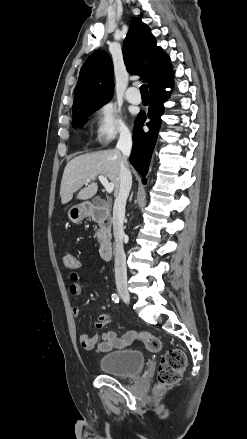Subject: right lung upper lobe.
I'll use <instances>...</instances> for the list:
<instances>
[{"mask_svg": "<svg viewBox=\"0 0 247 439\" xmlns=\"http://www.w3.org/2000/svg\"><path fill=\"white\" fill-rule=\"evenodd\" d=\"M128 72L141 76L150 91L172 83L169 57L150 28L140 18L132 19L123 46ZM113 64L107 52L95 51L83 64L75 88L73 116L86 110L102 107L113 95Z\"/></svg>", "mask_w": 247, "mask_h": 439, "instance_id": "obj_1", "label": "right lung upper lobe"}]
</instances>
